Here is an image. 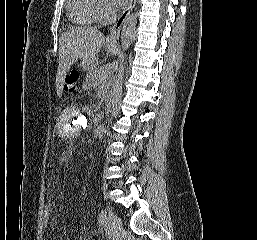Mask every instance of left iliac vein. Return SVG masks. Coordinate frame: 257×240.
Instances as JSON below:
<instances>
[{
    "instance_id": "1",
    "label": "left iliac vein",
    "mask_w": 257,
    "mask_h": 240,
    "mask_svg": "<svg viewBox=\"0 0 257 240\" xmlns=\"http://www.w3.org/2000/svg\"><path fill=\"white\" fill-rule=\"evenodd\" d=\"M107 223L110 229V232L113 235H117L120 233L122 229L121 219L112 211L109 212L107 217Z\"/></svg>"
}]
</instances>
